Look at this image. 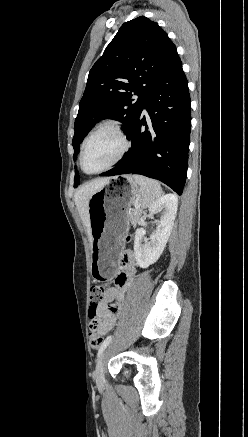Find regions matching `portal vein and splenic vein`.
I'll list each match as a JSON object with an SVG mask.
<instances>
[{
	"mask_svg": "<svg viewBox=\"0 0 248 437\" xmlns=\"http://www.w3.org/2000/svg\"><path fill=\"white\" fill-rule=\"evenodd\" d=\"M135 208H139V206H138V205H135Z\"/></svg>",
	"mask_w": 248,
	"mask_h": 437,
	"instance_id": "obj_1",
	"label": "portal vein and splenic vein"
}]
</instances>
